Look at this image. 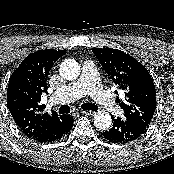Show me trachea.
Segmentation results:
<instances>
[{
	"instance_id": "3493384b",
	"label": "trachea",
	"mask_w": 174,
	"mask_h": 174,
	"mask_svg": "<svg viewBox=\"0 0 174 174\" xmlns=\"http://www.w3.org/2000/svg\"><path fill=\"white\" fill-rule=\"evenodd\" d=\"M81 108L84 110H92V111H96L98 109V106L92 103H85L83 105H81ZM71 108L68 105H62L59 109L58 112L60 114L62 113H70Z\"/></svg>"
}]
</instances>
